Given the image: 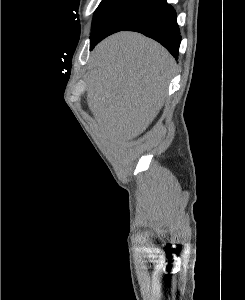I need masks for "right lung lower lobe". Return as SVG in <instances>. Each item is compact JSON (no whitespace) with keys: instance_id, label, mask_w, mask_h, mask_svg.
Segmentation results:
<instances>
[{"instance_id":"obj_1","label":"right lung lower lobe","mask_w":245,"mask_h":300,"mask_svg":"<svg viewBox=\"0 0 245 300\" xmlns=\"http://www.w3.org/2000/svg\"><path fill=\"white\" fill-rule=\"evenodd\" d=\"M176 17L173 7L164 2L122 30L140 32L153 38L175 57L181 41ZM101 40L90 44V50Z\"/></svg>"}]
</instances>
